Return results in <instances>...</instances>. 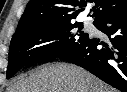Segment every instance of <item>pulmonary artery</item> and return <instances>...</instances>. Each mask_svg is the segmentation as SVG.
I'll return each instance as SVG.
<instances>
[{
    "mask_svg": "<svg viewBox=\"0 0 127 92\" xmlns=\"http://www.w3.org/2000/svg\"><path fill=\"white\" fill-rule=\"evenodd\" d=\"M85 25H87V26L90 25V21L89 20H86L85 21Z\"/></svg>",
    "mask_w": 127,
    "mask_h": 92,
    "instance_id": "pulmonary-artery-1",
    "label": "pulmonary artery"
}]
</instances>
